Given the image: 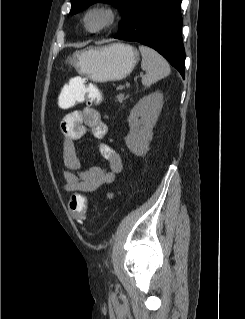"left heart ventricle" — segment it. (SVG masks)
<instances>
[{
    "label": "left heart ventricle",
    "instance_id": "1",
    "mask_svg": "<svg viewBox=\"0 0 245 319\" xmlns=\"http://www.w3.org/2000/svg\"><path fill=\"white\" fill-rule=\"evenodd\" d=\"M103 22H104V17L99 14L93 15L89 20V24L91 27H97L101 25Z\"/></svg>",
    "mask_w": 245,
    "mask_h": 319
}]
</instances>
